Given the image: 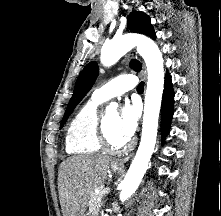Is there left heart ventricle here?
<instances>
[{
  "mask_svg": "<svg viewBox=\"0 0 221 216\" xmlns=\"http://www.w3.org/2000/svg\"><path fill=\"white\" fill-rule=\"evenodd\" d=\"M105 125L107 133L113 143L120 144L127 141L119 131V115L116 112H111L106 115Z\"/></svg>",
  "mask_w": 221,
  "mask_h": 216,
  "instance_id": "b2bd125f",
  "label": "left heart ventricle"
}]
</instances>
